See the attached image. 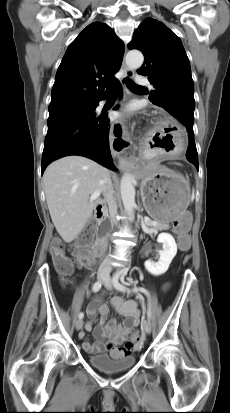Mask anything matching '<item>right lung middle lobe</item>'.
Instances as JSON below:
<instances>
[{"instance_id":"1","label":"right lung middle lobe","mask_w":230,"mask_h":413,"mask_svg":"<svg viewBox=\"0 0 230 413\" xmlns=\"http://www.w3.org/2000/svg\"><path fill=\"white\" fill-rule=\"evenodd\" d=\"M93 110L92 103L83 104H62L54 107H49V118L60 116L69 113H75L80 111Z\"/></svg>"}]
</instances>
